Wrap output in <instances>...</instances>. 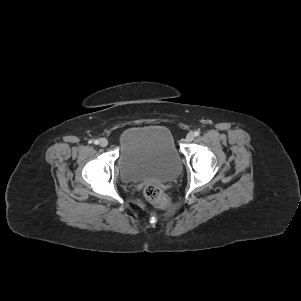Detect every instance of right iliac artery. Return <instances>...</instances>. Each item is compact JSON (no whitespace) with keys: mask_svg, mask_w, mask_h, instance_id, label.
Segmentation results:
<instances>
[{"mask_svg":"<svg viewBox=\"0 0 301 301\" xmlns=\"http://www.w3.org/2000/svg\"><path fill=\"white\" fill-rule=\"evenodd\" d=\"M94 144H95V145L99 144V141H98V140H95V141H94Z\"/></svg>","mask_w":301,"mask_h":301,"instance_id":"82829eb1","label":"right iliac artery"}]
</instances>
